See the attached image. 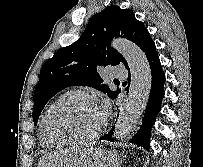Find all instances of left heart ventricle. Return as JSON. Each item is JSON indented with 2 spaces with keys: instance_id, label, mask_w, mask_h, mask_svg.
I'll list each match as a JSON object with an SVG mask.
<instances>
[{
  "instance_id": "b2bd125f",
  "label": "left heart ventricle",
  "mask_w": 203,
  "mask_h": 167,
  "mask_svg": "<svg viewBox=\"0 0 203 167\" xmlns=\"http://www.w3.org/2000/svg\"><path fill=\"white\" fill-rule=\"evenodd\" d=\"M103 116L89 101L79 99L54 115L49 121L50 131L64 138H82L96 132Z\"/></svg>"
}]
</instances>
